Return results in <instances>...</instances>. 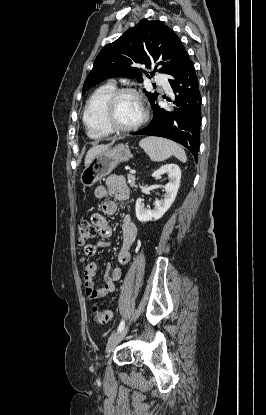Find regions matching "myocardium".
<instances>
[{
	"label": "myocardium",
	"mask_w": 266,
	"mask_h": 415,
	"mask_svg": "<svg viewBox=\"0 0 266 415\" xmlns=\"http://www.w3.org/2000/svg\"><path fill=\"white\" fill-rule=\"evenodd\" d=\"M125 94H131V95L135 96L138 99V101L140 102L141 107H142V116H141L140 120L137 123H135L131 126H122V125L118 124L116 119H115V106H116V103H117L118 99L122 95H125ZM148 117H149L148 110H147L146 106L144 105L140 94L134 88L122 87V88L115 89L111 93V95L109 96V98L107 99V101L105 103L104 119H105L107 125L112 129V131H115V132H132V131H135L147 122Z\"/></svg>",
	"instance_id": "myocardium-1"
}]
</instances>
